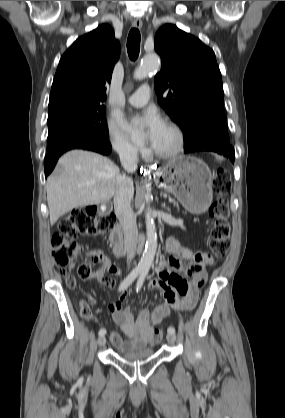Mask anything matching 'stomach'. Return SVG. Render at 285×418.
<instances>
[{
    "instance_id": "stomach-1",
    "label": "stomach",
    "mask_w": 285,
    "mask_h": 418,
    "mask_svg": "<svg viewBox=\"0 0 285 418\" xmlns=\"http://www.w3.org/2000/svg\"><path fill=\"white\" fill-rule=\"evenodd\" d=\"M211 171L193 156H178L156 172V183L173 194L192 214L204 213L212 203Z\"/></svg>"
}]
</instances>
